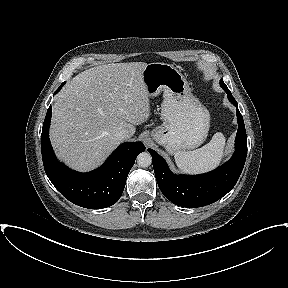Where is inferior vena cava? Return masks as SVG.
<instances>
[{"label": "inferior vena cava", "instance_id": "inferior-vena-cava-1", "mask_svg": "<svg viewBox=\"0 0 288 288\" xmlns=\"http://www.w3.org/2000/svg\"><path fill=\"white\" fill-rule=\"evenodd\" d=\"M115 137L119 140V141H123L127 138L125 132L123 131H118L115 133Z\"/></svg>", "mask_w": 288, "mask_h": 288}]
</instances>
